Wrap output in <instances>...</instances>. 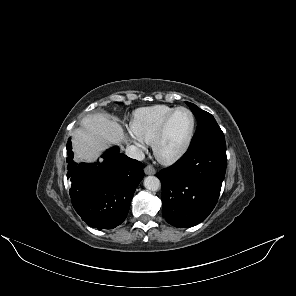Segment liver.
<instances>
[{"instance_id":"obj_1","label":"liver","mask_w":296,"mask_h":296,"mask_svg":"<svg viewBox=\"0 0 296 296\" xmlns=\"http://www.w3.org/2000/svg\"><path fill=\"white\" fill-rule=\"evenodd\" d=\"M81 124L72 133L73 151L79 161L94 162L112 144L128 141L122 127L104 115H88Z\"/></svg>"}]
</instances>
